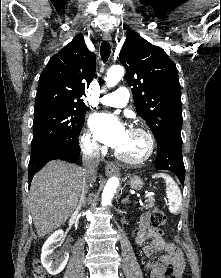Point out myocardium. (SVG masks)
<instances>
[{
  "instance_id": "1",
  "label": "myocardium",
  "mask_w": 221,
  "mask_h": 278,
  "mask_svg": "<svg viewBox=\"0 0 221 278\" xmlns=\"http://www.w3.org/2000/svg\"><path fill=\"white\" fill-rule=\"evenodd\" d=\"M129 132L141 134L145 138L146 145H147V150H146L145 155L138 159H132V158L126 157L118 150H115L114 154L120 161L127 163L129 165H134V166L142 165V164L146 163L147 161H149L154 154V150H155L154 138L148 130L141 128V127H132V128H130Z\"/></svg>"
}]
</instances>
